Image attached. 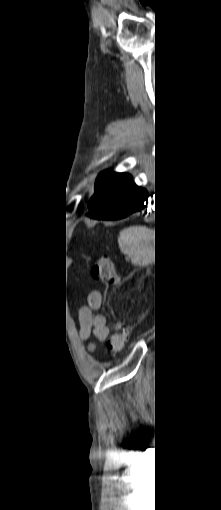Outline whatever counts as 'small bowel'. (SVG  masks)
<instances>
[{
	"instance_id": "1",
	"label": "small bowel",
	"mask_w": 221,
	"mask_h": 510,
	"mask_svg": "<svg viewBox=\"0 0 221 510\" xmlns=\"http://www.w3.org/2000/svg\"><path fill=\"white\" fill-rule=\"evenodd\" d=\"M102 305V295L98 290H93L88 295V306L80 310V337L88 339L91 332L95 337L104 341L109 335L105 317L99 313Z\"/></svg>"
}]
</instances>
